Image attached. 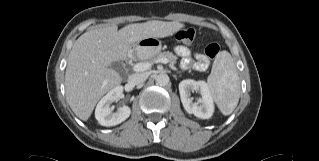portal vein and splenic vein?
Returning <instances> with one entry per match:
<instances>
[{
    "instance_id": "obj_1",
    "label": "portal vein and splenic vein",
    "mask_w": 319,
    "mask_h": 161,
    "mask_svg": "<svg viewBox=\"0 0 319 161\" xmlns=\"http://www.w3.org/2000/svg\"><path fill=\"white\" fill-rule=\"evenodd\" d=\"M157 62H160V63H163V64H167L169 61L167 58H160V59H157L156 60V63ZM151 63L149 62H142V63H137L133 66V70L136 71V72H142V71H146L148 69H150L151 67Z\"/></svg>"
}]
</instances>
